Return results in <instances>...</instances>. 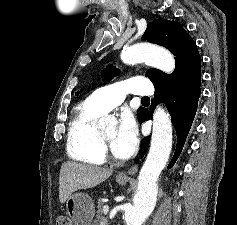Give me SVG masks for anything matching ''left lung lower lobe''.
Listing matches in <instances>:
<instances>
[{"label":"left lung lower lobe","instance_id":"left-lung-lower-lobe-1","mask_svg":"<svg viewBox=\"0 0 237 225\" xmlns=\"http://www.w3.org/2000/svg\"><path fill=\"white\" fill-rule=\"evenodd\" d=\"M201 75L190 78L183 83L167 87L155 88L154 99H152L150 110L141 108L139 122L152 119L155 106L164 102L177 131V146L175 154L168 165L170 169L179 157L184 146L186 137L194 120L201 89ZM150 137H145L142 141L140 154L142 158L147 152Z\"/></svg>","mask_w":237,"mask_h":225}]
</instances>
